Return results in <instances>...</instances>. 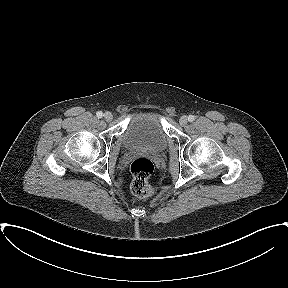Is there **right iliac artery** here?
I'll list each match as a JSON object with an SVG mask.
<instances>
[{"instance_id": "82829eb1", "label": "right iliac artery", "mask_w": 288, "mask_h": 288, "mask_svg": "<svg viewBox=\"0 0 288 288\" xmlns=\"http://www.w3.org/2000/svg\"><path fill=\"white\" fill-rule=\"evenodd\" d=\"M96 116H97L98 118H102L103 113H102L101 111H98V112L96 113Z\"/></svg>"}]
</instances>
